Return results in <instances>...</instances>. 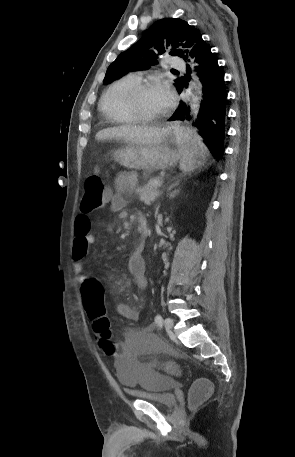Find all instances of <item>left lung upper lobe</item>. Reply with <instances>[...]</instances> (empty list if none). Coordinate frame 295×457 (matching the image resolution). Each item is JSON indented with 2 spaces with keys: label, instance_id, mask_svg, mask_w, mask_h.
<instances>
[{
  "label": "left lung upper lobe",
  "instance_id": "obj_1",
  "mask_svg": "<svg viewBox=\"0 0 295 457\" xmlns=\"http://www.w3.org/2000/svg\"><path fill=\"white\" fill-rule=\"evenodd\" d=\"M202 38L200 31L189 25L186 21L175 18H163L155 22L143 35V37L128 50L121 53L108 67L104 82L121 78L134 70L149 68L157 62V55L165 52L163 43L167 46L171 43L174 48L179 46L187 50H174L170 54L187 59L192 47ZM185 54H187L185 56ZM181 80L174 84L177 90L181 86Z\"/></svg>",
  "mask_w": 295,
  "mask_h": 457
}]
</instances>
